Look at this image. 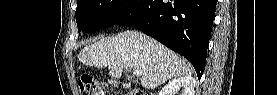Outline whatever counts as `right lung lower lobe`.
Instances as JSON below:
<instances>
[{"label": "right lung lower lobe", "mask_w": 277, "mask_h": 95, "mask_svg": "<svg viewBox=\"0 0 277 95\" xmlns=\"http://www.w3.org/2000/svg\"><path fill=\"white\" fill-rule=\"evenodd\" d=\"M217 0H141L117 25L140 29L187 58L200 79Z\"/></svg>", "instance_id": "right-lung-lower-lobe-1"}]
</instances>
